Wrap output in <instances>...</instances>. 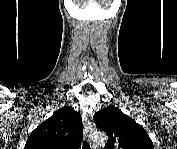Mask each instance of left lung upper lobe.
I'll return each instance as SVG.
<instances>
[{"label":"left lung upper lobe","mask_w":177,"mask_h":149,"mask_svg":"<svg viewBox=\"0 0 177 149\" xmlns=\"http://www.w3.org/2000/svg\"><path fill=\"white\" fill-rule=\"evenodd\" d=\"M93 119L109 136L105 149H154L144 128L117 107L104 108Z\"/></svg>","instance_id":"1"}]
</instances>
